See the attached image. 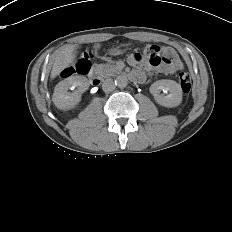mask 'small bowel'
<instances>
[{"instance_id":"1","label":"small bowel","mask_w":232,"mask_h":232,"mask_svg":"<svg viewBox=\"0 0 232 232\" xmlns=\"http://www.w3.org/2000/svg\"><path fill=\"white\" fill-rule=\"evenodd\" d=\"M165 52L172 56L174 59V65L175 68H180L181 67V62L178 59V56L175 52L174 49L170 48V47H163ZM129 62L131 65L137 67V69L132 73V76L135 79H141L144 76V70L149 69L151 67V63L149 62V60L146 58V56L142 55V54H135L133 56H131L129 58Z\"/></svg>"}]
</instances>
